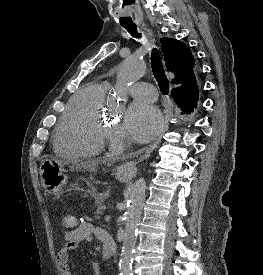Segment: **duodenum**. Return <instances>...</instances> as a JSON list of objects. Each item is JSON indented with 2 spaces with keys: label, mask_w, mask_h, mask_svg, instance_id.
Segmentation results:
<instances>
[{
  "label": "duodenum",
  "mask_w": 263,
  "mask_h": 275,
  "mask_svg": "<svg viewBox=\"0 0 263 275\" xmlns=\"http://www.w3.org/2000/svg\"><path fill=\"white\" fill-rule=\"evenodd\" d=\"M103 242V257L107 260L114 259L117 254V245L113 239V237L105 232L102 237Z\"/></svg>",
  "instance_id": "410a0bca"
}]
</instances>
